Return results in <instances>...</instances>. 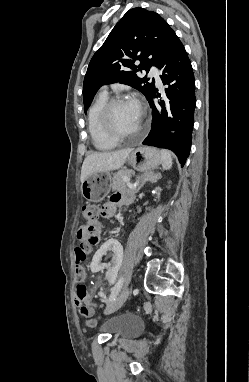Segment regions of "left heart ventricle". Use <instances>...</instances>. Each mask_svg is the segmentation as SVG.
<instances>
[{
    "instance_id": "obj_1",
    "label": "left heart ventricle",
    "mask_w": 249,
    "mask_h": 382,
    "mask_svg": "<svg viewBox=\"0 0 249 382\" xmlns=\"http://www.w3.org/2000/svg\"><path fill=\"white\" fill-rule=\"evenodd\" d=\"M141 113L130 102H122L112 109L111 121L116 131L121 134L134 133L140 123Z\"/></svg>"
}]
</instances>
